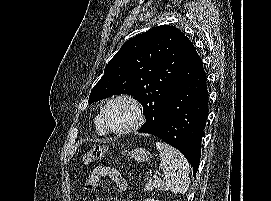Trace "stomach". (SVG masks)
I'll use <instances>...</instances> for the list:
<instances>
[{
  "label": "stomach",
  "instance_id": "1",
  "mask_svg": "<svg viewBox=\"0 0 271 201\" xmlns=\"http://www.w3.org/2000/svg\"><path fill=\"white\" fill-rule=\"evenodd\" d=\"M125 155L134 159L137 162H145L151 158V154L145 148H136L130 152H126Z\"/></svg>",
  "mask_w": 271,
  "mask_h": 201
}]
</instances>
